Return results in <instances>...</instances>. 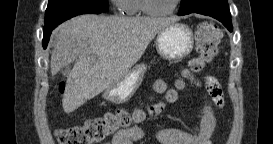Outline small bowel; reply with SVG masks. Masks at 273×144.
<instances>
[{"instance_id":"obj_1","label":"small bowel","mask_w":273,"mask_h":144,"mask_svg":"<svg viewBox=\"0 0 273 144\" xmlns=\"http://www.w3.org/2000/svg\"><path fill=\"white\" fill-rule=\"evenodd\" d=\"M166 81L159 79L154 83V92L163 93L166 89ZM194 85L204 92L206 104L204 107L201 125L196 133L187 132L178 128H166L155 133V138L161 144H209L210 137L215 129L217 118L215 108H223V90L218 81L207 76L204 81L194 80ZM146 132L140 127L117 132L111 144H134L142 140Z\"/></svg>"}]
</instances>
